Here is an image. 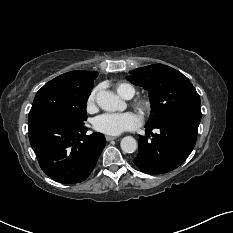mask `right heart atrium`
Instances as JSON below:
<instances>
[{
	"instance_id": "1",
	"label": "right heart atrium",
	"mask_w": 233,
	"mask_h": 233,
	"mask_svg": "<svg viewBox=\"0 0 233 233\" xmlns=\"http://www.w3.org/2000/svg\"><path fill=\"white\" fill-rule=\"evenodd\" d=\"M96 94H97V89L93 90L90 94V96L88 97V106L91 107L94 105L95 100H96Z\"/></svg>"
}]
</instances>
